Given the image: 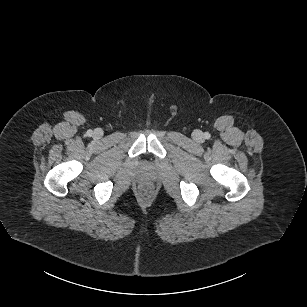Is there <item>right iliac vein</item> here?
<instances>
[{
  "mask_svg": "<svg viewBox=\"0 0 307 307\" xmlns=\"http://www.w3.org/2000/svg\"><path fill=\"white\" fill-rule=\"evenodd\" d=\"M103 135V131L101 129H97L94 131L95 138H100Z\"/></svg>",
  "mask_w": 307,
  "mask_h": 307,
  "instance_id": "1",
  "label": "right iliac vein"
}]
</instances>
